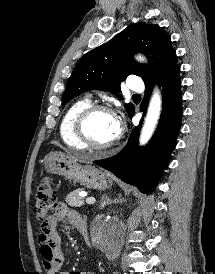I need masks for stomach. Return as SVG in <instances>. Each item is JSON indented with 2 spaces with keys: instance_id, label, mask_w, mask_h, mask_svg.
I'll list each match as a JSON object with an SVG mask.
<instances>
[{
  "instance_id": "0dacf381",
  "label": "stomach",
  "mask_w": 215,
  "mask_h": 274,
  "mask_svg": "<svg viewBox=\"0 0 215 274\" xmlns=\"http://www.w3.org/2000/svg\"><path fill=\"white\" fill-rule=\"evenodd\" d=\"M48 173L64 176L87 188L106 189L112 184L110 177L94 166L81 165L72 156L61 152L50 153L44 162Z\"/></svg>"
}]
</instances>
